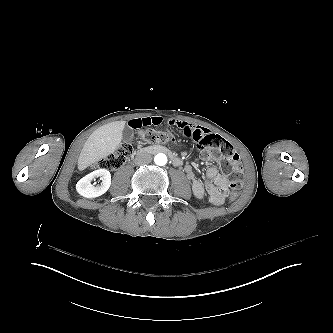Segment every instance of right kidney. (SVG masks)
Returning a JSON list of instances; mask_svg holds the SVG:
<instances>
[{
  "label": "right kidney",
  "mask_w": 333,
  "mask_h": 333,
  "mask_svg": "<svg viewBox=\"0 0 333 333\" xmlns=\"http://www.w3.org/2000/svg\"><path fill=\"white\" fill-rule=\"evenodd\" d=\"M95 177H101L102 184L100 186L91 184V181ZM110 185V172L107 169H98L81 178L76 184V190L83 197L95 198L103 195L109 189Z\"/></svg>",
  "instance_id": "right-kidney-1"
}]
</instances>
